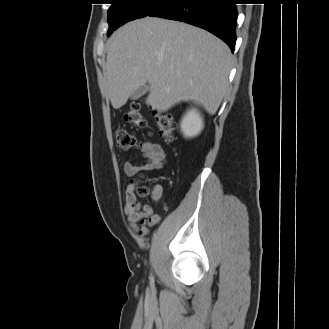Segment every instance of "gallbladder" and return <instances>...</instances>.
Returning <instances> with one entry per match:
<instances>
[{"label":"gallbladder","instance_id":"bac80fb5","mask_svg":"<svg viewBox=\"0 0 329 329\" xmlns=\"http://www.w3.org/2000/svg\"><path fill=\"white\" fill-rule=\"evenodd\" d=\"M148 90H149V85L147 84L141 85L131 94L130 97L132 100H137L140 97H142Z\"/></svg>","mask_w":329,"mask_h":329}]
</instances>
